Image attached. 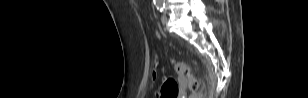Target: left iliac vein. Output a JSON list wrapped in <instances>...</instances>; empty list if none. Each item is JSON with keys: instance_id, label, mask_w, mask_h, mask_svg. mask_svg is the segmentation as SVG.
<instances>
[{"instance_id": "obj_1", "label": "left iliac vein", "mask_w": 308, "mask_h": 98, "mask_svg": "<svg viewBox=\"0 0 308 98\" xmlns=\"http://www.w3.org/2000/svg\"><path fill=\"white\" fill-rule=\"evenodd\" d=\"M161 22H162L163 24H166V23L168 22V17H167L166 14H163V15H162V17H161Z\"/></svg>"}]
</instances>
